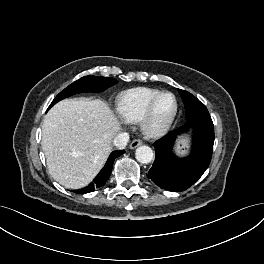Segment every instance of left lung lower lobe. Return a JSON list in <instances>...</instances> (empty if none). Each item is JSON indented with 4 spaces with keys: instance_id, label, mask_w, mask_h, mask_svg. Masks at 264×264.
I'll list each match as a JSON object with an SVG mask.
<instances>
[{
    "instance_id": "obj_1",
    "label": "left lung lower lobe",
    "mask_w": 264,
    "mask_h": 264,
    "mask_svg": "<svg viewBox=\"0 0 264 264\" xmlns=\"http://www.w3.org/2000/svg\"><path fill=\"white\" fill-rule=\"evenodd\" d=\"M188 128L194 129V146L186 158H177L172 152L176 137ZM214 144V125L211 117L197 118L169 132L158 140L155 161L148 177L159 187L168 191H184L192 186L208 168Z\"/></svg>"
}]
</instances>
